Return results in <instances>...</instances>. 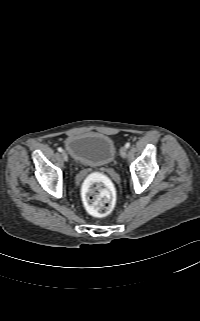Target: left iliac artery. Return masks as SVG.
Listing matches in <instances>:
<instances>
[{
    "label": "left iliac artery",
    "mask_w": 200,
    "mask_h": 321,
    "mask_svg": "<svg viewBox=\"0 0 200 321\" xmlns=\"http://www.w3.org/2000/svg\"><path fill=\"white\" fill-rule=\"evenodd\" d=\"M125 147H126V148H129V147H130V143H126V144H125Z\"/></svg>",
    "instance_id": "left-iliac-artery-1"
}]
</instances>
